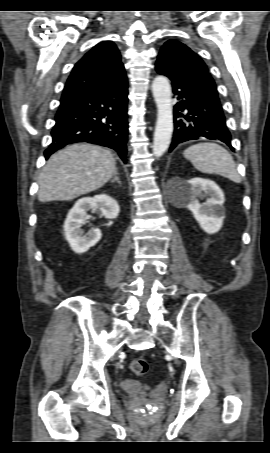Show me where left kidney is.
I'll return each instance as SVG.
<instances>
[{"label": "left kidney", "mask_w": 270, "mask_h": 453, "mask_svg": "<svg viewBox=\"0 0 270 453\" xmlns=\"http://www.w3.org/2000/svg\"><path fill=\"white\" fill-rule=\"evenodd\" d=\"M202 192L209 195V198L201 204L198 199L204 197ZM180 201L193 213L194 218L206 233L214 234L221 229L225 218L223 207L225 197L214 181L199 177L186 181L181 191Z\"/></svg>", "instance_id": "left-kidney-1"}]
</instances>
